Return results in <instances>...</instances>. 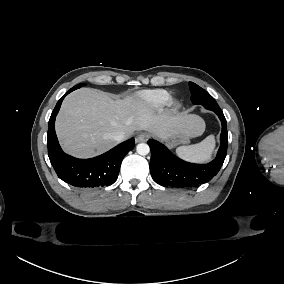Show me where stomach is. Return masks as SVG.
Instances as JSON below:
<instances>
[{
	"instance_id": "obj_1",
	"label": "stomach",
	"mask_w": 284,
	"mask_h": 284,
	"mask_svg": "<svg viewBox=\"0 0 284 284\" xmlns=\"http://www.w3.org/2000/svg\"><path fill=\"white\" fill-rule=\"evenodd\" d=\"M166 141L170 146H173L178 143L187 142L188 138L185 135L184 128L181 127L168 133Z\"/></svg>"
}]
</instances>
